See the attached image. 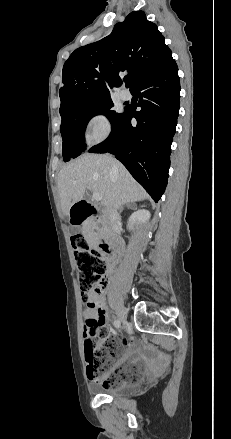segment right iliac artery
<instances>
[{
  "label": "right iliac artery",
  "instance_id": "obj_1",
  "mask_svg": "<svg viewBox=\"0 0 231 439\" xmlns=\"http://www.w3.org/2000/svg\"><path fill=\"white\" fill-rule=\"evenodd\" d=\"M114 326H115L116 328H119V327H120V321H119V320H115V321H114Z\"/></svg>",
  "mask_w": 231,
  "mask_h": 439
}]
</instances>
